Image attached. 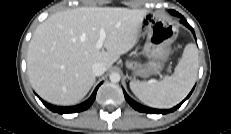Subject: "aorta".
Instances as JSON below:
<instances>
[{
  "instance_id": "aorta-1",
  "label": "aorta",
  "mask_w": 231,
  "mask_h": 134,
  "mask_svg": "<svg viewBox=\"0 0 231 134\" xmlns=\"http://www.w3.org/2000/svg\"><path fill=\"white\" fill-rule=\"evenodd\" d=\"M110 81L111 82H119L120 81V78H121V76H120V74L119 73H117V72H113V73H111L110 74Z\"/></svg>"
}]
</instances>
